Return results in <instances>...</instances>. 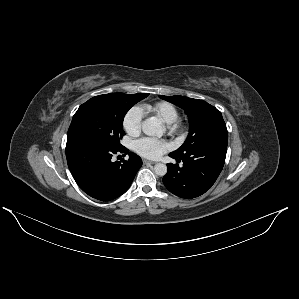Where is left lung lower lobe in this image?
<instances>
[{
	"instance_id": "0a47b994",
	"label": "left lung lower lobe",
	"mask_w": 299,
	"mask_h": 299,
	"mask_svg": "<svg viewBox=\"0 0 299 299\" xmlns=\"http://www.w3.org/2000/svg\"><path fill=\"white\" fill-rule=\"evenodd\" d=\"M227 141H215L201 145L181 156L172 153L183 166L168 163L163 177L165 187L182 198H195L205 193L214 184L224 166Z\"/></svg>"
}]
</instances>
